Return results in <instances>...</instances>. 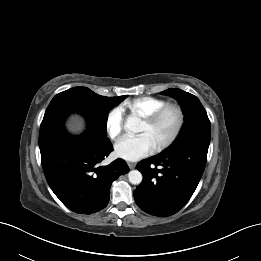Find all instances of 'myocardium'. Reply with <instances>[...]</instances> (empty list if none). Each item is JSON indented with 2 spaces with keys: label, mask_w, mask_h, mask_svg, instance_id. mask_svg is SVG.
<instances>
[{
  "label": "myocardium",
  "mask_w": 261,
  "mask_h": 261,
  "mask_svg": "<svg viewBox=\"0 0 261 261\" xmlns=\"http://www.w3.org/2000/svg\"><path fill=\"white\" fill-rule=\"evenodd\" d=\"M173 113L175 115V125L171 133L159 144L154 146L155 152H160L169 146H171L181 134L185 124V113L182 107L175 103H167L158 110L154 111L150 115L142 118V122L148 125H154L158 123L166 114Z\"/></svg>",
  "instance_id": "obj_1"
}]
</instances>
